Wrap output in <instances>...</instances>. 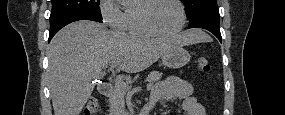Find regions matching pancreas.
Instances as JSON below:
<instances>
[{"instance_id":"pancreas-1","label":"pancreas","mask_w":285,"mask_h":115,"mask_svg":"<svg viewBox=\"0 0 285 115\" xmlns=\"http://www.w3.org/2000/svg\"><path fill=\"white\" fill-rule=\"evenodd\" d=\"M162 77V73L153 71L151 72L148 77L147 81L152 86V84L158 80H160ZM129 85L124 84H118L115 83L114 89L111 92L109 96V107H110V114L111 115H122L125 108V95L129 91Z\"/></svg>"}]
</instances>
